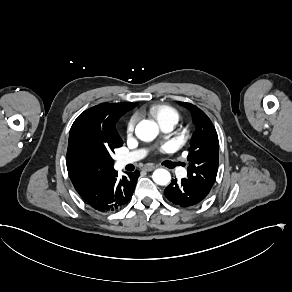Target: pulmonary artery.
Instances as JSON below:
<instances>
[{"label": "pulmonary artery", "instance_id": "obj_1", "mask_svg": "<svg viewBox=\"0 0 292 292\" xmlns=\"http://www.w3.org/2000/svg\"><path fill=\"white\" fill-rule=\"evenodd\" d=\"M177 121L175 119H167V120H163L159 123L162 131L164 132H170L174 129V127L176 126ZM144 151L143 150H138L129 154H124L121 155L118 159H117V165L118 166H124L127 163H130L132 161H135L137 159H139L142 155H143ZM183 176L186 175V172H184L182 174Z\"/></svg>", "mask_w": 292, "mask_h": 292}]
</instances>
